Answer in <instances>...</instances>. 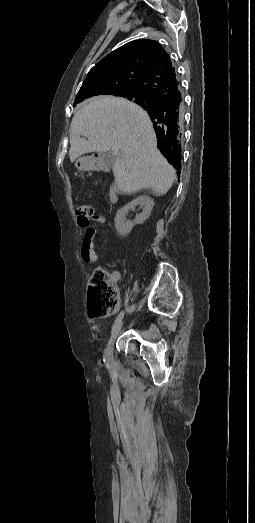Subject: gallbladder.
I'll use <instances>...</instances> for the list:
<instances>
[{"mask_svg":"<svg viewBox=\"0 0 255 523\" xmlns=\"http://www.w3.org/2000/svg\"><path fill=\"white\" fill-rule=\"evenodd\" d=\"M100 160L106 164V166H113L115 158L111 152H102L99 156Z\"/></svg>","mask_w":255,"mask_h":523,"instance_id":"gallbladder-1","label":"gallbladder"}]
</instances>
